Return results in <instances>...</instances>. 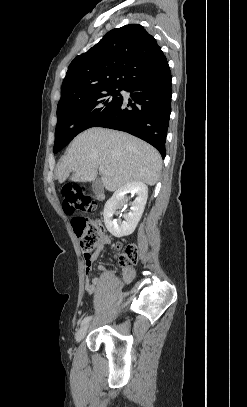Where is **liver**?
Returning <instances> with one entry per match:
<instances>
[{"instance_id":"obj_1","label":"liver","mask_w":247,"mask_h":407,"mask_svg":"<svg viewBox=\"0 0 247 407\" xmlns=\"http://www.w3.org/2000/svg\"><path fill=\"white\" fill-rule=\"evenodd\" d=\"M162 167L159 152L137 137L104 128H90L71 142L57 169L59 183L71 172L74 182H91L102 168V182L113 192L129 182L157 183Z\"/></svg>"}]
</instances>
